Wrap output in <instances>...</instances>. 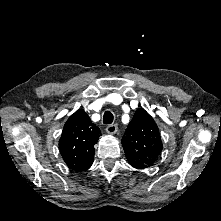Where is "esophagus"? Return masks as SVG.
<instances>
[{
  "label": "esophagus",
  "instance_id": "obj_1",
  "mask_svg": "<svg viewBox=\"0 0 221 221\" xmlns=\"http://www.w3.org/2000/svg\"><path fill=\"white\" fill-rule=\"evenodd\" d=\"M106 132H107L108 134H114V133H116V132H117V125H115V124H113V125H108V126L106 127Z\"/></svg>",
  "mask_w": 221,
  "mask_h": 221
}]
</instances>
